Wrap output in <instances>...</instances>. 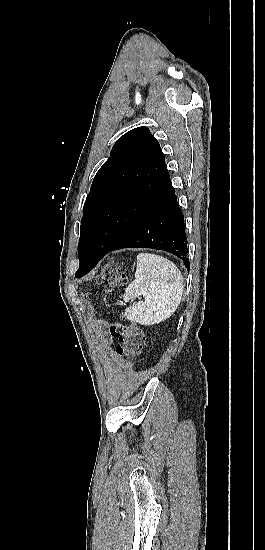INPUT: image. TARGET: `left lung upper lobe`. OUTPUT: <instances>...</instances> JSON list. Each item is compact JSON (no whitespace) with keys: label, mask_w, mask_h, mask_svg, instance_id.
Masks as SVG:
<instances>
[{"label":"left lung upper lobe","mask_w":265,"mask_h":550,"mask_svg":"<svg viewBox=\"0 0 265 550\" xmlns=\"http://www.w3.org/2000/svg\"><path fill=\"white\" fill-rule=\"evenodd\" d=\"M171 185L164 154L147 127L121 136L95 175L84 204L80 263L91 250L111 248Z\"/></svg>","instance_id":"1"}]
</instances>
